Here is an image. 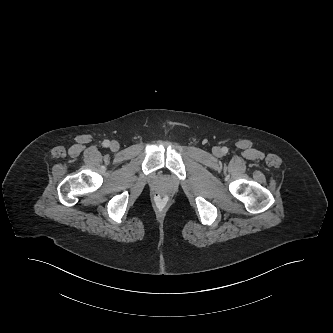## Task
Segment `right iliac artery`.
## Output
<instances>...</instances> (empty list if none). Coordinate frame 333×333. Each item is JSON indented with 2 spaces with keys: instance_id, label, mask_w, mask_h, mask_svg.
<instances>
[{
  "instance_id": "82829eb1",
  "label": "right iliac artery",
  "mask_w": 333,
  "mask_h": 333,
  "mask_svg": "<svg viewBox=\"0 0 333 333\" xmlns=\"http://www.w3.org/2000/svg\"><path fill=\"white\" fill-rule=\"evenodd\" d=\"M109 145H110L109 140H104V141H103V146H104V147H108Z\"/></svg>"
}]
</instances>
